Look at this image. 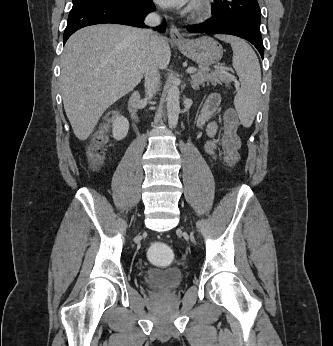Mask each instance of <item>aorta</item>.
<instances>
[{"mask_svg": "<svg viewBox=\"0 0 333 346\" xmlns=\"http://www.w3.org/2000/svg\"><path fill=\"white\" fill-rule=\"evenodd\" d=\"M167 116L169 126L175 128L178 123L180 105H179V88L177 85L172 84L167 94Z\"/></svg>", "mask_w": 333, "mask_h": 346, "instance_id": "1", "label": "aorta"}]
</instances>
